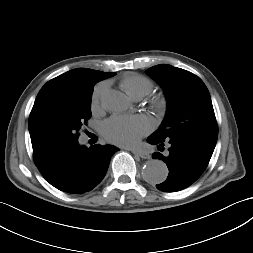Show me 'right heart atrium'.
Returning <instances> with one entry per match:
<instances>
[{
	"instance_id": "1",
	"label": "right heart atrium",
	"mask_w": 253,
	"mask_h": 253,
	"mask_svg": "<svg viewBox=\"0 0 253 253\" xmlns=\"http://www.w3.org/2000/svg\"><path fill=\"white\" fill-rule=\"evenodd\" d=\"M105 89H106V85L104 83H101L95 87L92 94V102H91L93 109H96L99 107L100 101L104 94Z\"/></svg>"
}]
</instances>
